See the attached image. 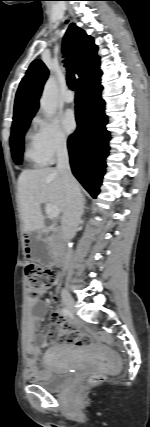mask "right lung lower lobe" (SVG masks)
<instances>
[{"mask_svg": "<svg viewBox=\"0 0 150 427\" xmlns=\"http://www.w3.org/2000/svg\"><path fill=\"white\" fill-rule=\"evenodd\" d=\"M102 72L79 85L76 93L77 130L68 139L72 172L84 188L96 198L105 173L109 132L101 98Z\"/></svg>", "mask_w": 150, "mask_h": 427, "instance_id": "98d812e1", "label": "right lung lower lobe"}]
</instances>
